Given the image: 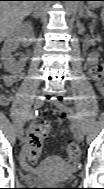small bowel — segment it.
<instances>
[{
	"label": "small bowel",
	"mask_w": 104,
	"mask_h": 189,
	"mask_svg": "<svg viewBox=\"0 0 104 189\" xmlns=\"http://www.w3.org/2000/svg\"><path fill=\"white\" fill-rule=\"evenodd\" d=\"M95 67L96 66H93L90 68V71H89L90 76H91L92 80L95 82L97 89L102 90L103 84H102L101 78L96 77L93 73ZM22 77H23V74L21 72L7 74L2 77V82L5 86L9 87V86H12L13 84H15L17 81H19ZM9 101H10V98L8 96L3 95L1 97L2 105H7L9 103ZM32 135H33V130L31 128L28 132L25 145L23 146V149H22V157L23 158H26V154L29 149V143H30Z\"/></svg>",
	"instance_id": "obj_1"
}]
</instances>
